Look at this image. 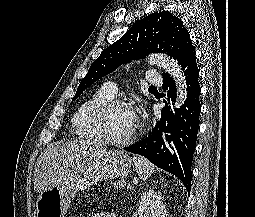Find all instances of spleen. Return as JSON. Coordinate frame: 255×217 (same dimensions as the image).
Segmentation results:
<instances>
[{"mask_svg":"<svg viewBox=\"0 0 255 217\" xmlns=\"http://www.w3.org/2000/svg\"><path fill=\"white\" fill-rule=\"evenodd\" d=\"M133 162L135 164L137 174L142 180H146L154 172L153 165L143 157L140 156L133 157Z\"/></svg>","mask_w":255,"mask_h":217,"instance_id":"3e777b00","label":"spleen"}]
</instances>
